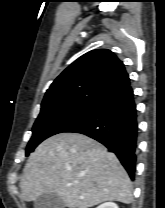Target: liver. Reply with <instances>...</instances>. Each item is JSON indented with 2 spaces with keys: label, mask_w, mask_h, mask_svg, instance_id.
Listing matches in <instances>:
<instances>
[{
  "label": "liver",
  "mask_w": 165,
  "mask_h": 208,
  "mask_svg": "<svg viewBox=\"0 0 165 208\" xmlns=\"http://www.w3.org/2000/svg\"><path fill=\"white\" fill-rule=\"evenodd\" d=\"M20 186L24 201L55 193L69 208L133 200L132 183L115 154L79 133H59L43 141L29 156Z\"/></svg>",
  "instance_id": "obj_1"
}]
</instances>
